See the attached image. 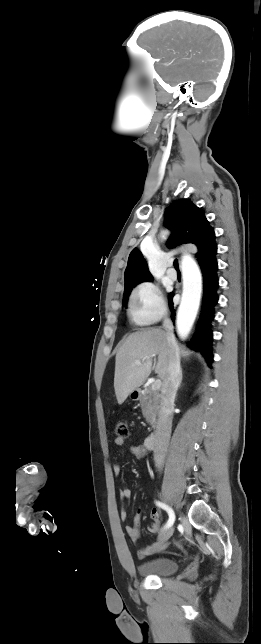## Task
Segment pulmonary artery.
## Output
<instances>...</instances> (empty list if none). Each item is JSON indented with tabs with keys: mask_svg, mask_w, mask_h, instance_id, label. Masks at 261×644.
Instances as JSON below:
<instances>
[{
	"mask_svg": "<svg viewBox=\"0 0 261 644\" xmlns=\"http://www.w3.org/2000/svg\"><path fill=\"white\" fill-rule=\"evenodd\" d=\"M167 275L173 280H175L177 278V272L173 268H169L167 270Z\"/></svg>",
	"mask_w": 261,
	"mask_h": 644,
	"instance_id": "obj_1",
	"label": "pulmonary artery"
}]
</instances>
